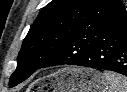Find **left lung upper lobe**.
I'll list each match as a JSON object with an SVG mask.
<instances>
[{
    "mask_svg": "<svg viewBox=\"0 0 127 92\" xmlns=\"http://www.w3.org/2000/svg\"><path fill=\"white\" fill-rule=\"evenodd\" d=\"M120 0H53L38 15L25 37L9 80L16 86L40 69L76 34L114 12Z\"/></svg>",
    "mask_w": 127,
    "mask_h": 92,
    "instance_id": "obj_1",
    "label": "left lung upper lobe"
}]
</instances>
